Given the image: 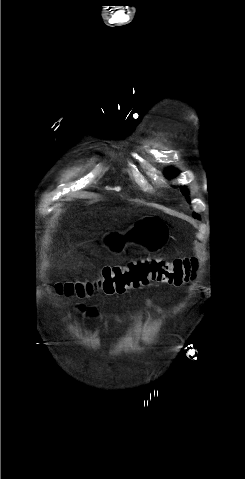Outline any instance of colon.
Masks as SVG:
<instances>
[{"mask_svg":"<svg viewBox=\"0 0 245 479\" xmlns=\"http://www.w3.org/2000/svg\"><path fill=\"white\" fill-rule=\"evenodd\" d=\"M197 267L198 262L195 258L170 260L156 256L139 257L125 265L105 266L92 280L59 283L56 290L60 294L85 297L95 292L124 293L152 282L180 286L194 277Z\"/></svg>","mask_w":245,"mask_h":479,"instance_id":"5ec220e1","label":"colon"}]
</instances>
